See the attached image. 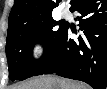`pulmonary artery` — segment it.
I'll list each match as a JSON object with an SVG mask.
<instances>
[{"label":"pulmonary artery","mask_w":107,"mask_h":89,"mask_svg":"<svg viewBox=\"0 0 107 89\" xmlns=\"http://www.w3.org/2000/svg\"><path fill=\"white\" fill-rule=\"evenodd\" d=\"M69 15H70V12H69L68 9H63V10H62V16H63V17H69Z\"/></svg>","instance_id":"pulmonary-artery-1"}]
</instances>
